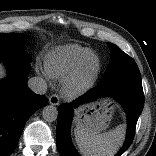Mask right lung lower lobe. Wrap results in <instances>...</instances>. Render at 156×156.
I'll list each match as a JSON object with an SVG mask.
<instances>
[{"instance_id": "obj_1", "label": "right lung lower lobe", "mask_w": 156, "mask_h": 156, "mask_svg": "<svg viewBox=\"0 0 156 156\" xmlns=\"http://www.w3.org/2000/svg\"><path fill=\"white\" fill-rule=\"evenodd\" d=\"M3 61L9 76L0 82V156H9L16 147L30 116L47 104L48 99L27 87L28 62Z\"/></svg>"}]
</instances>
